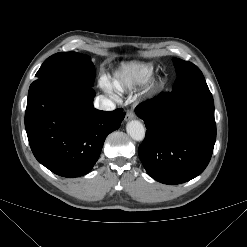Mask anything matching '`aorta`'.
Segmentation results:
<instances>
[{
	"label": "aorta",
	"mask_w": 247,
	"mask_h": 247,
	"mask_svg": "<svg viewBox=\"0 0 247 247\" xmlns=\"http://www.w3.org/2000/svg\"><path fill=\"white\" fill-rule=\"evenodd\" d=\"M126 130L128 135L135 141H142L145 137V128L138 120L128 122Z\"/></svg>",
	"instance_id": "1"
}]
</instances>
